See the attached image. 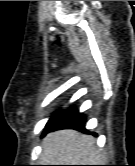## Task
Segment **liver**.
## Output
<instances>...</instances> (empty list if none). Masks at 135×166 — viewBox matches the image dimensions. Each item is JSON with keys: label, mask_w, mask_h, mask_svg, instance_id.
<instances>
[{"label": "liver", "mask_w": 135, "mask_h": 166, "mask_svg": "<svg viewBox=\"0 0 135 166\" xmlns=\"http://www.w3.org/2000/svg\"><path fill=\"white\" fill-rule=\"evenodd\" d=\"M40 159L44 165H98L103 155L93 136L60 130L44 138Z\"/></svg>", "instance_id": "6515ba94"}]
</instances>
